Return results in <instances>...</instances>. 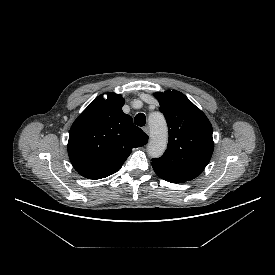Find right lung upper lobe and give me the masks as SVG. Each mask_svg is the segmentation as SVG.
I'll use <instances>...</instances> for the list:
<instances>
[{
	"instance_id": "obj_1",
	"label": "right lung upper lobe",
	"mask_w": 275,
	"mask_h": 275,
	"mask_svg": "<svg viewBox=\"0 0 275 275\" xmlns=\"http://www.w3.org/2000/svg\"><path fill=\"white\" fill-rule=\"evenodd\" d=\"M121 95H102L79 115L70 128L68 155L74 169L88 179H101L117 172L132 148L148 142L146 135L122 111Z\"/></svg>"
}]
</instances>
